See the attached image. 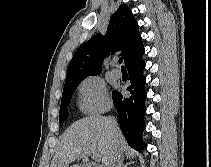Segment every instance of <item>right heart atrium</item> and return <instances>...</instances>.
<instances>
[{
  "label": "right heart atrium",
  "instance_id": "d8ad5b80",
  "mask_svg": "<svg viewBox=\"0 0 211 167\" xmlns=\"http://www.w3.org/2000/svg\"><path fill=\"white\" fill-rule=\"evenodd\" d=\"M79 106L87 113H100L106 110L110 99L104 81L96 75L86 77L78 87Z\"/></svg>",
  "mask_w": 211,
  "mask_h": 167
}]
</instances>
